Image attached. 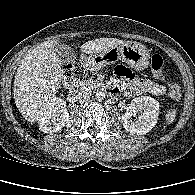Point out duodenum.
<instances>
[{"label":"duodenum","instance_id":"1","mask_svg":"<svg viewBox=\"0 0 195 195\" xmlns=\"http://www.w3.org/2000/svg\"><path fill=\"white\" fill-rule=\"evenodd\" d=\"M84 90L83 85L80 82L74 83L70 86V91L73 94H80ZM109 94H115V91L113 88L109 87L106 89Z\"/></svg>","mask_w":195,"mask_h":195}]
</instances>
